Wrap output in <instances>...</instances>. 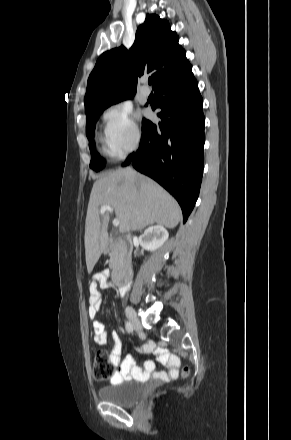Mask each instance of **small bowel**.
I'll return each mask as SVG.
<instances>
[{"label": "small bowel", "instance_id": "c3829d8e", "mask_svg": "<svg viewBox=\"0 0 291 440\" xmlns=\"http://www.w3.org/2000/svg\"><path fill=\"white\" fill-rule=\"evenodd\" d=\"M109 276L108 271H104L97 274L89 283V316L93 319L92 335L93 340L98 345H104L107 341V332L104 324L96 319L99 308L102 303V297L98 290V284L102 287L107 286V278ZM128 291V285H120V292L122 295ZM113 344L109 353V362L115 368L112 376L110 377V383L116 384L123 380L145 379L148 377H154L157 379H169L177 375L180 367V358L175 354H170L167 350L157 346L155 342H149L143 350L147 352H154L158 355L159 362L166 366L167 371L158 372L155 364L152 361H146L143 369L136 365L135 359L132 355H127L124 360L121 361L122 354V341L116 332L112 333Z\"/></svg>", "mask_w": 291, "mask_h": 440}]
</instances>
